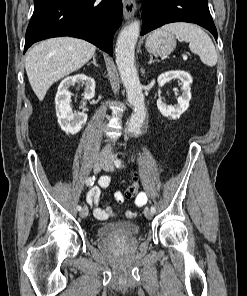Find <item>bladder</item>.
Segmentation results:
<instances>
[{"instance_id": "31cf9c89", "label": "bladder", "mask_w": 247, "mask_h": 296, "mask_svg": "<svg viewBox=\"0 0 247 296\" xmlns=\"http://www.w3.org/2000/svg\"><path fill=\"white\" fill-rule=\"evenodd\" d=\"M140 232L139 226L131 221L108 223L97 230L99 236L108 239L129 238Z\"/></svg>"}]
</instances>
